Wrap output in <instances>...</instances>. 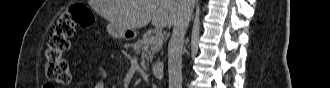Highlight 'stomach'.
<instances>
[{
  "mask_svg": "<svg viewBox=\"0 0 330 88\" xmlns=\"http://www.w3.org/2000/svg\"><path fill=\"white\" fill-rule=\"evenodd\" d=\"M114 33L120 37H125L126 31L119 30V31H115Z\"/></svg>",
  "mask_w": 330,
  "mask_h": 88,
  "instance_id": "0dacf381",
  "label": "stomach"
}]
</instances>
